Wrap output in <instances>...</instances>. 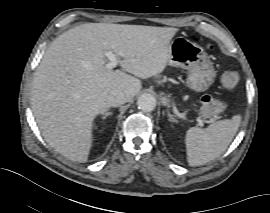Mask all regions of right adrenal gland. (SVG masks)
I'll use <instances>...</instances> for the list:
<instances>
[{"instance_id":"1","label":"right adrenal gland","mask_w":270,"mask_h":213,"mask_svg":"<svg viewBox=\"0 0 270 213\" xmlns=\"http://www.w3.org/2000/svg\"><path fill=\"white\" fill-rule=\"evenodd\" d=\"M108 116H112V113L111 112H106V113L103 114L102 118L106 119Z\"/></svg>"}]
</instances>
